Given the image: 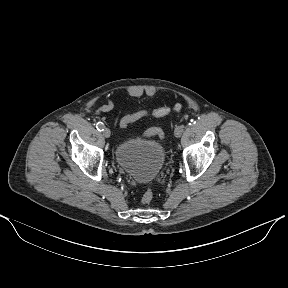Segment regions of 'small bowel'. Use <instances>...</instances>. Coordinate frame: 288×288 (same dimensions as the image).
I'll return each mask as SVG.
<instances>
[{
	"instance_id": "obj_1",
	"label": "small bowel",
	"mask_w": 288,
	"mask_h": 288,
	"mask_svg": "<svg viewBox=\"0 0 288 288\" xmlns=\"http://www.w3.org/2000/svg\"><path fill=\"white\" fill-rule=\"evenodd\" d=\"M113 108H114L113 100L112 99H108L105 104H103V105H101V106H99L97 108V112L105 113V112L111 111ZM120 127L121 128H125L124 126L121 125V122H120Z\"/></svg>"
}]
</instances>
